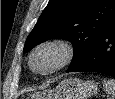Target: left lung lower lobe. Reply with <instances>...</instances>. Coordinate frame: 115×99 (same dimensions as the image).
<instances>
[{
	"label": "left lung lower lobe",
	"mask_w": 115,
	"mask_h": 99,
	"mask_svg": "<svg viewBox=\"0 0 115 99\" xmlns=\"http://www.w3.org/2000/svg\"><path fill=\"white\" fill-rule=\"evenodd\" d=\"M98 72L115 78V22L91 50L67 72Z\"/></svg>",
	"instance_id": "0a47b994"
}]
</instances>
